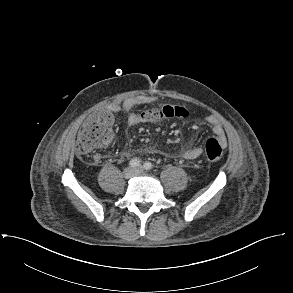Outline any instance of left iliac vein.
<instances>
[{"label":"left iliac vein","instance_id":"4c4485c4","mask_svg":"<svg viewBox=\"0 0 293 293\" xmlns=\"http://www.w3.org/2000/svg\"><path fill=\"white\" fill-rule=\"evenodd\" d=\"M136 174H143V169H142V167H138V168L136 169Z\"/></svg>","mask_w":293,"mask_h":293}]
</instances>
